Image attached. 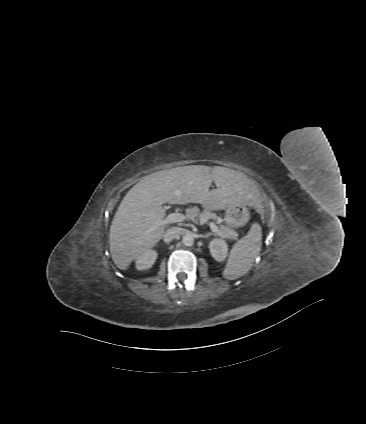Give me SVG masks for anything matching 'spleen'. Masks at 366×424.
<instances>
[{"label": "spleen", "instance_id": "spleen-1", "mask_svg": "<svg viewBox=\"0 0 366 424\" xmlns=\"http://www.w3.org/2000/svg\"><path fill=\"white\" fill-rule=\"evenodd\" d=\"M262 229L254 223L248 234L235 243L223 271L224 278L234 280L245 275L261 251Z\"/></svg>", "mask_w": 366, "mask_h": 424}]
</instances>
